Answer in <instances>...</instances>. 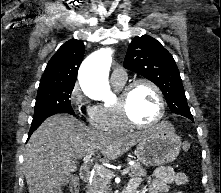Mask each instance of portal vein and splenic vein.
Masks as SVG:
<instances>
[{
  "instance_id": "1",
  "label": "portal vein and splenic vein",
  "mask_w": 221,
  "mask_h": 193,
  "mask_svg": "<svg viewBox=\"0 0 221 193\" xmlns=\"http://www.w3.org/2000/svg\"><path fill=\"white\" fill-rule=\"evenodd\" d=\"M92 155H94V151H90L89 154H87L86 156H84L83 161L84 163H88L90 161V158L92 157ZM96 171H98L100 174L105 175L108 178H112V176H114L113 172H111L110 170L106 169L105 167L101 166V165H95ZM129 172L128 168H124L121 171L122 175H125Z\"/></svg>"
}]
</instances>
